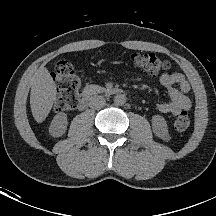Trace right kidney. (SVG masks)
Returning a JSON list of instances; mask_svg holds the SVG:
<instances>
[{
	"mask_svg": "<svg viewBox=\"0 0 216 216\" xmlns=\"http://www.w3.org/2000/svg\"><path fill=\"white\" fill-rule=\"evenodd\" d=\"M67 125V115L65 113H59L54 116L49 128V132L54 137H60L66 132Z\"/></svg>",
	"mask_w": 216,
	"mask_h": 216,
	"instance_id": "obj_1",
	"label": "right kidney"
}]
</instances>
